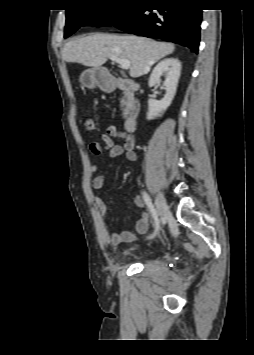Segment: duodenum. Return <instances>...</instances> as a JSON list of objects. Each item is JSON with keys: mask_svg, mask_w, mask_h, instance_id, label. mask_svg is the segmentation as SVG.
I'll return each mask as SVG.
<instances>
[{"mask_svg": "<svg viewBox=\"0 0 254 355\" xmlns=\"http://www.w3.org/2000/svg\"><path fill=\"white\" fill-rule=\"evenodd\" d=\"M106 88L110 90L123 89L129 93L131 109L125 118L124 127L127 132H134L140 112V106L135 99V93L138 91L139 85L121 77H115L114 80H111L110 83L106 85Z\"/></svg>", "mask_w": 254, "mask_h": 355, "instance_id": "1", "label": "duodenum"}]
</instances>
